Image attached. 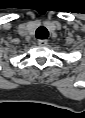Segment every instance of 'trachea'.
<instances>
[{"instance_id":"trachea-1","label":"trachea","mask_w":85,"mask_h":118,"mask_svg":"<svg viewBox=\"0 0 85 118\" xmlns=\"http://www.w3.org/2000/svg\"><path fill=\"white\" fill-rule=\"evenodd\" d=\"M36 38L38 39H47L48 36H49V33H48V30L45 28V27H39L37 30H36Z\"/></svg>"}]
</instances>
